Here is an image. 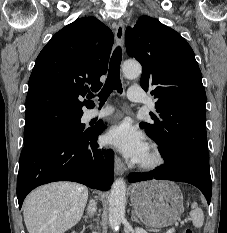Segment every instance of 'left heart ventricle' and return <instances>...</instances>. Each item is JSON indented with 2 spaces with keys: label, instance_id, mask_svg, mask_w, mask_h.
I'll return each instance as SVG.
<instances>
[{
  "label": "left heart ventricle",
  "instance_id": "left-heart-ventricle-1",
  "mask_svg": "<svg viewBox=\"0 0 227 233\" xmlns=\"http://www.w3.org/2000/svg\"><path fill=\"white\" fill-rule=\"evenodd\" d=\"M149 157V153L148 150L145 152V154L143 155V157L141 158V160H146Z\"/></svg>",
  "mask_w": 227,
  "mask_h": 233
}]
</instances>
